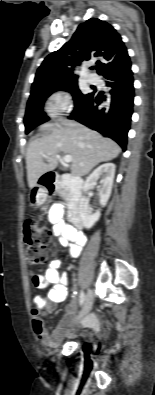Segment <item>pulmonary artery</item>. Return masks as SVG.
Segmentation results:
<instances>
[{
    "label": "pulmonary artery",
    "instance_id": "1",
    "mask_svg": "<svg viewBox=\"0 0 155 395\" xmlns=\"http://www.w3.org/2000/svg\"><path fill=\"white\" fill-rule=\"evenodd\" d=\"M87 80L90 83H97L99 81L98 77L96 75H93V74L89 75L87 77Z\"/></svg>",
    "mask_w": 155,
    "mask_h": 395
}]
</instances>
